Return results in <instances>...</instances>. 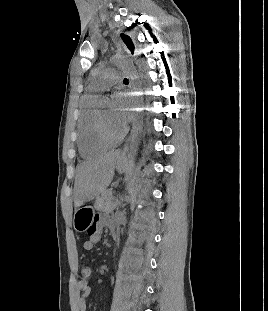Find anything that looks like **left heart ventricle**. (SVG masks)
<instances>
[{
  "label": "left heart ventricle",
  "instance_id": "obj_1",
  "mask_svg": "<svg viewBox=\"0 0 268 311\" xmlns=\"http://www.w3.org/2000/svg\"><path fill=\"white\" fill-rule=\"evenodd\" d=\"M100 110L103 114L104 122L108 131L114 135L118 134L121 131L123 125L116 119L112 106L110 104H106L103 105Z\"/></svg>",
  "mask_w": 268,
  "mask_h": 311
}]
</instances>
